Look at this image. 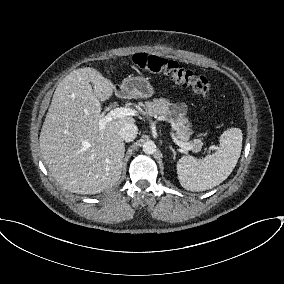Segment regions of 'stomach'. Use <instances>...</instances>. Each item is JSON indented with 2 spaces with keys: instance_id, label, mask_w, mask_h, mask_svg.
Returning <instances> with one entry per match:
<instances>
[{
  "instance_id": "1",
  "label": "stomach",
  "mask_w": 284,
  "mask_h": 284,
  "mask_svg": "<svg viewBox=\"0 0 284 284\" xmlns=\"http://www.w3.org/2000/svg\"><path fill=\"white\" fill-rule=\"evenodd\" d=\"M124 96L128 98H149L154 90L149 81L144 77H129L119 86Z\"/></svg>"
}]
</instances>
